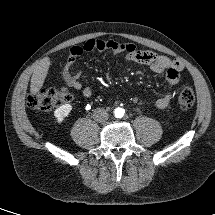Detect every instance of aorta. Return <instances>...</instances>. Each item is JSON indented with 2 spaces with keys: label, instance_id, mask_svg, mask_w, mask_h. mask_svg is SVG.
I'll return each mask as SVG.
<instances>
[{
  "label": "aorta",
  "instance_id": "762f6f07",
  "mask_svg": "<svg viewBox=\"0 0 215 215\" xmlns=\"http://www.w3.org/2000/svg\"><path fill=\"white\" fill-rule=\"evenodd\" d=\"M114 113H115V116H116L117 118H121V117L124 116L125 110L122 109V108H117V109H115Z\"/></svg>",
  "mask_w": 215,
  "mask_h": 215
}]
</instances>
